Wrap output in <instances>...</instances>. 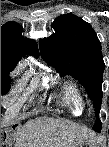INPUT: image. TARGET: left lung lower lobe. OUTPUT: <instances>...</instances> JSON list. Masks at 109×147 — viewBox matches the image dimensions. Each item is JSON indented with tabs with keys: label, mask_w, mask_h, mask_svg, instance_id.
<instances>
[{
	"label": "left lung lower lobe",
	"mask_w": 109,
	"mask_h": 147,
	"mask_svg": "<svg viewBox=\"0 0 109 147\" xmlns=\"http://www.w3.org/2000/svg\"><path fill=\"white\" fill-rule=\"evenodd\" d=\"M96 132H100V130H98V129H94Z\"/></svg>",
	"instance_id": "obj_1"
}]
</instances>
